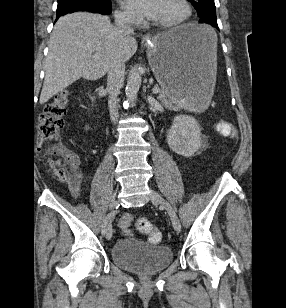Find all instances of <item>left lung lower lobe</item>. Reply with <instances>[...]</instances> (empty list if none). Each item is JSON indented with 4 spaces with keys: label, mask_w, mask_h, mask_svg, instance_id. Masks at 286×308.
<instances>
[{
    "label": "left lung lower lobe",
    "mask_w": 286,
    "mask_h": 308,
    "mask_svg": "<svg viewBox=\"0 0 286 308\" xmlns=\"http://www.w3.org/2000/svg\"><path fill=\"white\" fill-rule=\"evenodd\" d=\"M199 22L211 24L212 26L216 27L219 30L217 25L216 13L214 12L206 14L203 17H200Z\"/></svg>",
    "instance_id": "0a47b994"
}]
</instances>
